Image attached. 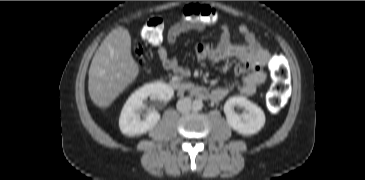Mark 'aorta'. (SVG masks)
<instances>
[{
    "instance_id": "1",
    "label": "aorta",
    "mask_w": 365,
    "mask_h": 180,
    "mask_svg": "<svg viewBox=\"0 0 365 180\" xmlns=\"http://www.w3.org/2000/svg\"><path fill=\"white\" fill-rule=\"evenodd\" d=\"M203 107V102L199 99H195L192 103V109L193 110H201Z\"/></svg>"
}]
</instances>
